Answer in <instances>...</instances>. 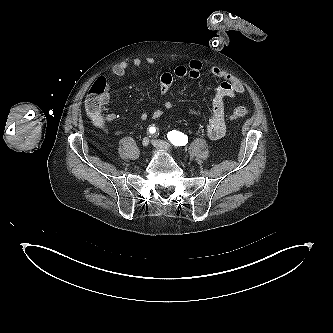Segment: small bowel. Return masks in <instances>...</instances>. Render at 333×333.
Listing matches in <instances>:
<instances>
[{
  "instance_id": "small-bowel-1",
  "label": "small bowel",
  "mask_w": 333,
  "mask_h": 333,
  "mask_svg": "<svg viewBox=\"0 0 333 333\" xmlns=\"http://www.w3.org/2000/svg\"><path fill=\"white\" fill-rule=\"evenodd\" d=\"M148 65H153L155 63V59L152 57H147L145 60L140 58H135L132 61V65L135 67H140L143 63ZM129 68V63L126 61H122L115 66H113L111 72L116 77H123ZM202 70V63L198 60H190L187 65L177 66L173 74L165 73L160 78V88L161 92L164 95L170 93L173 83V77H189L192 79L199 78ZM211 74L220 80V84L218 85L215 95L212 100L211 112L208 117L206 123V133L207 136L211 139H220L226 134V124L224 118V103L226 99L234 98L236 94H242L245 91L243 84L235 78L233 75L228 73L227 71L219 68L213 67L211 69ZM110 100V92L109 86L106 85V93L104 102L107 104ZM173 104L171 101L167 100L164 102L163 108L165 110L172 109ZM188 112L195 115H200L201 112L197 109L190 108ZM163 114L162 110H156L153 112V118L157 119L161 117ZM149 117L148 112L144 111L140 114V121H146ZM118 119V115L116 113L109 112L103 115L100 119L94 120V124L99 128H105L107 123H114Z\"/></svg>"
}]
</instances>
